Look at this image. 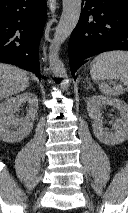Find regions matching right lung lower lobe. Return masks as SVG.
<instances>
[{
    "label": "right lung lower lobe",
    "instance_id": "1",
    "mask_svg": "<svg viewBox=\"0 0 128 213\" xmlns=\"http://www.w3.org/2000/svg\"><path fill=\"white\" fill-rule=\"evenodd\" d=\"M46 14V0H0V60L40 78L38 51Z\"/></svg>",
    "mask_w": 128,
    "mask_h": 213
}]
</instances>
